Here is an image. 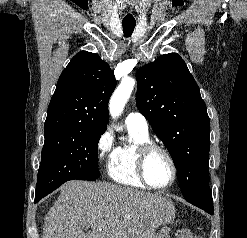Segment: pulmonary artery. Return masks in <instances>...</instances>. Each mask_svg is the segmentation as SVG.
Returning <instances> with one entry per match:
<instances>
[{"label": "pulmonary artery", "mask_w": 247, "mask_h": 238, "mask_svg": "<svg viewBox=\"0 0 247 238\" xmlns=\"http://www.w3.org/2000/svg\"><path fill=\"white\" fill-rule=\"evenodd\" d=\"M125 124L127 127H133L148 132V122L140 112H130L125 119Z\"/></svg>", "instance_id": "1"}]
</instances>
